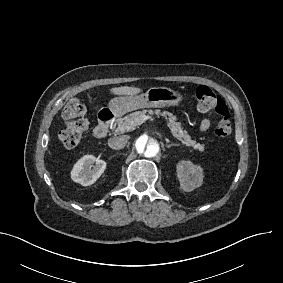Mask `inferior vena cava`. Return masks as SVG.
Masks as SVG:
<instances>
[{"instance_id":"602c4592","label":"inferior vena cava","mask_w":283,"mask_h":283,"mask_svg":"<svg viewBox=\"0 0 283 283\" xmlns=\"http://www.w3.org/2000/svg\"><path fill=\"white\" fill-rule=\"evenodd\" d=\"M126 140L124 137H113L108 140V145L112 149H121L125 146Z\"/></svg>"}]
</instances>
